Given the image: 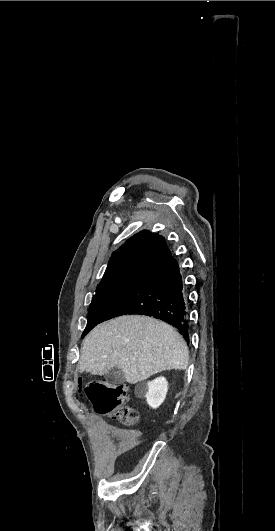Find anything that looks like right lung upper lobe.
Masks as SVG:
<instances>
[{"mask_svg":"<svg viewBox=\"0 0 275 531\" xmlns=\"http://www.w3.org/2000/svg\"><path fill=\"white\" fill-rule=\"evenodd\" d=\"M167 248L164 237L143 230L113 252L103 277L127 269L146 268Z\"/></svg>","mask_w":275,"mask_h":531,"instance_id":"obj_1","label":"right lung upper lobe"}]
</instances>
